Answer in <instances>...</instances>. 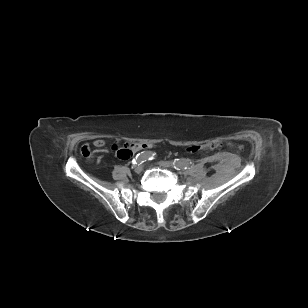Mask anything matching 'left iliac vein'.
<instances>
[{"label": "left iliac vein", "mask_w": 308, "mask_h": 308, "mask_svg": "<svg viewBox=\"0 0 308 308\" xmlns=\"http://www.w3.org/2000/svg\"><path fill=\"white\" fill-rule=\"evenodd\" d=\"M158 164H159L160 167H163V168L173 167L172 163L169 162V161H160Z\"/></svg>", "instance_id": "4c4485c4"}]
</instances>
